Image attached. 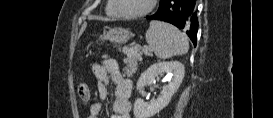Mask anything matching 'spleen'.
I'll return each instance as SVG.
<instances>
[{"mask_svg":"<svg viewBox=\"0 0 273 118\" xmlns=\"http://www.w3.org/2000/svg\"><path fill=\"white\" fill-rule=\"evenodd\" d=\"M146 41L154 51L155 55L162 59L183 55L188 52V38L174 26L151 21L146 32Z\"/></svg>","mask_w":273,"mask_h":118,"instance_id":"obj_1","label":"spleen"}]
</instances>
